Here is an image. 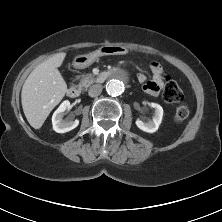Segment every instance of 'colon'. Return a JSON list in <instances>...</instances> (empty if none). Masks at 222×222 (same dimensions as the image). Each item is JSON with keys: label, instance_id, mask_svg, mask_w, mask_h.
Returning a JSON list of instances; mask_svg holds the SVG:
<instances>
[{"label": "colon", "instance_id": "obj_1", "mask_svg": "<svg viewBox=\"0 0 222 222\" xmlns=\"http://www.w3.org/2000/svg\"><path fill=\"white\" fill-rule=\"evenodd\" d=\"M164 100L168 103H179L183 100V93L178 84L174 81H167L163 88ZM189 115V109L186 105H179L174 114L177 122L184 121Z\"/></svg>", "mask_w": 222, "mask_h": 222}]
</instances>
